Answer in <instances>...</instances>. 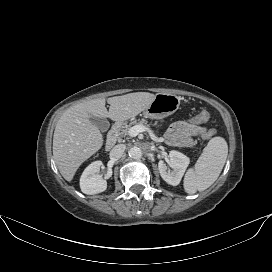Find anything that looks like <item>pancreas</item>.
Segmentation results:
<instances>
[{
  "label": "pancreas",
  "instance_id": "obj_1",
  "mask_svg": "<svg viewBox=\"0 0 272 272\" xmlns=\"http://www.w3.org/2000/svg\"><path fill=\"white\" fill-rule=\"evenodd\" d=\"M147 121L145 119H142L140 121H138V123H134L135 125H147ZM131 126L130 125H124L121 126L119 129V136L120 137H125L127 135H129V131H130Z\"/></svg>",
  "mask_w": 272,
  "mask_h": 272
}]
</instances>
